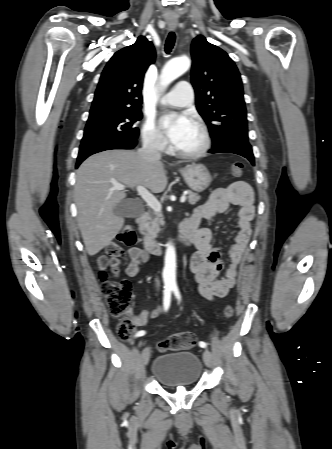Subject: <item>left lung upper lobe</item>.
I'll return each instance as SVG.
<instances>
[{
  "mask_svg": "<svg viewBox=\"0 0 332 449\" xmlns=\"http://www.w3.org/2000/svg\"><path fill=\"white\" fill-rule=\"evenodd\" d=\"M191 54L196 108L213 147L232 139L248 140L242 80L234 61L202 35L193 40Z\"/></svg>",
  "mask_w": 332,
  "mask_h": 449,
  "instance_id": "left-lung-upper-lobe-1",
  "label": "left lung upper lobe"
}]
</instances>
